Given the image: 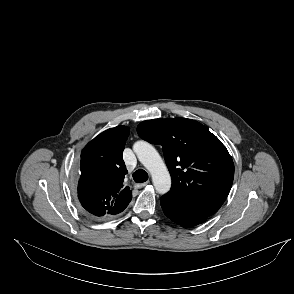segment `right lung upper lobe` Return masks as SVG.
Wrapping results in <instances>:
<instances>
[{
    "mask_svg": "<svg viewBox=\"0 0 294 294\" xmlns=\"http://www.w3.org/2000/svg\"><path fill=\"white\" fill-rule=\"evenodd\" d=\"M129 129L117 126L94 138L81 152L78 198L94 217L107 218L122 212L132 199L123 186L127 173L122 153Z\"/></svg>",
    "mask_w": 294,
    "mask_h": 294,
    "instance_id": "1",
    "label": "right lung upper lobe"
}]
</instances>
